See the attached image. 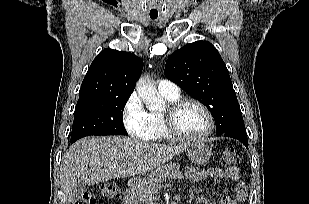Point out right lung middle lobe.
<instances>
[{
	"mask_svg": "<svg viewBox=\"0 0 309 204\" xmlns=\"http://www.w3.org/2000/svg\"><path fill=\"white\" fill-rule=\"evenodd\" d=\"M129 96H112L77 103L71 142L89 135H128L123 110Z\"/></svg>",
	"mask_w": 309,
	"mask_h": 204,
	"instance_id": "obj_1",
	"label": "right lung middle lobe"
}]
</instances>
